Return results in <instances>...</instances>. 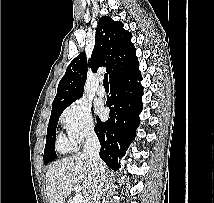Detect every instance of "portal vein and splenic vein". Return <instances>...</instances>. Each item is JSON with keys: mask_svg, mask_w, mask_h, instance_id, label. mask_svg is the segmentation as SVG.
<instances>
[{"mask_svg": "<svg viewBox=\"0 0 214 203\" xmlns=\"http://www.w3.org/2000/svg\"><path fill=\"white\" fill-rule=\"evenodd\" d=\"M73 189L76 191V192H80L81 190V187L78 186V185H74L73 186ZM83 201V196L82 194H76L73 198V203H82Z\"/></svg>", "mask_w": 214, "mask_h": 203, "instance_id": "obj_1", "label": "portal vein and splenic vein"}]
</instances>
